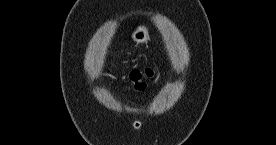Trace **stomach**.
I'll use <instances>...</instances> for the list:
<instances>
[{
  "label": "stomach",
  "instance_id": "0dacf381",
  "mask_svg": "<svg viewBox=\"0 0 276 145\" xmlns=\"http://www.w3.org/2000/svg\"><path fill=\"white\" fill-rule=\"evenodd\" d=\"M132 38L137 43H147L149 38L148 30L144 25L139 26L133 33Z\"/></svg>",
  "mask_w": 276,
  "mask_h": 145
}]
</instances>
